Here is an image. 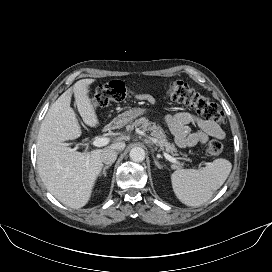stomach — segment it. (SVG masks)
<instances>
[{
  "label": "stomach",
  "mask_w": 272,
  "mask_h": 272,
  "mask_svg": "<svg viewBox=\"0 0 272 272\" xmlns=\"http://www.w3.org/2000/svg\"><path fill=\"white\" fill-rule=\"evenodd\" d=\"M147 113L146 108H138L126 111L120 115H118L116 118L113 119L110 126L112 127H122L125 124L131 122L132 120L136 119L138 116H141L143 114Z\"/></svg>",
  "instance_id": "1"
}]
</instances>
